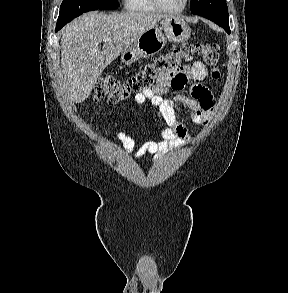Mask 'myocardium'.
<instances>
[{"mask_svg": "<svg viewBox=\"0 0 288 293\" xmlns=\"http://www.w3.org/2000/svg\"><path fill=\"white\" fill-rule=\"evenodd\" d=\"M153 4L155 5V7L165 13H169V14H178L181 13L185 10V8L187 7L188 4V0H183L182 5L177 8V9H169L167 7H165L160 0H152Z\"/></svg>", "mask_w": 288, "mask_h": 293, "instance_id": "obj_1", "label": "myocardium"}]
</instances>
